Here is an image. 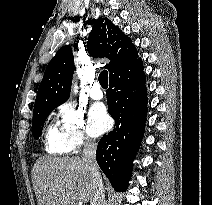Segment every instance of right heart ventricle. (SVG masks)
<instances>
[{
    "instance_id": "e07e8e85",
    "label": "right heart ventricle",
    "mask_w": 212,
    "mask_h": 205,
    "mask_svg": "<svg viewBox=\"0 0 212 205\" xmlns=\"http://www.w3.org/2000/svg\"><path fill=\"white\" fill-rule=\"evenodd\" d=\"M44 144L49 154L64 155L71 151L60 126L54 122L50 123L46 128Z\"/></svg>"
}]
</instances>
